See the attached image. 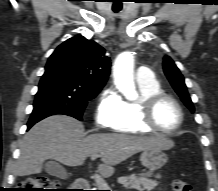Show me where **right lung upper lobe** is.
<instances>
[{
	"instance_id": "cb5924a9",
	"label": "right lung upper lobe",
	"mask_w": 218,
	"mask_h": 191,
	"mask_svg": "<svg viewBox=\"0 0 218 191\" xmlns=\"http://www.w3.org/2000/svg\"><path fill=\"white\" fill-rule=\"evenodd\" d=\"M47 67H56L94 87H103L110 72V59L93 40L78 35L61 45L49 57Z\"/></svg>"
}]
</instances>
